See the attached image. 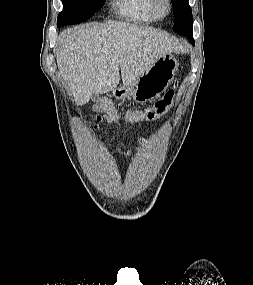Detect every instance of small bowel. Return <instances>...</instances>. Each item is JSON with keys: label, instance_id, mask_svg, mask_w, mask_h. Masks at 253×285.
<instances>
[{"label": "small bowel", "instance_id": "c3829d8e", "mask_svg": "<svg viewBox=\"0 0 253 285\" xmlns=\"http://www.w3.org/2000/svg\"><path fill=\"white\" fill-rule=\"evenodd\" d=\"M144 142H145L144 140H141V144H143ZM127 154L129 155V154H130V152H128Z\"/></svg>", "mask_w": 253, "mask_h": 285}]
</instances>
